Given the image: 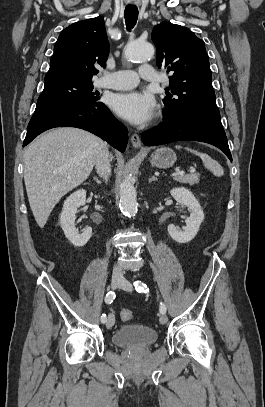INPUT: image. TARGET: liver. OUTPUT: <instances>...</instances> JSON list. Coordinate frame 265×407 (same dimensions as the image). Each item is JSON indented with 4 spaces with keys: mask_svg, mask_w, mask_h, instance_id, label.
I'll list each match as a JSON object with an SVG mask.
<instances>
[{
    "mask_svg": "<svg viewBox=\"0 0 265 407\" xmlns=\"http://www.w3.org/2000/svg\"><path fill=\"white\" fill-rule=\"evenodd\" d=\"M106 149L99 137L73 127L53 129L28 145L24 153V182L40 228L59 200L89 177Z\"/></svg>",
    "mask_w": 265,
    "mask_h": 407,
    "instance_id": "liver-1",
    "label": "liver"
}]
</instances>
